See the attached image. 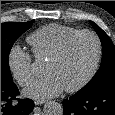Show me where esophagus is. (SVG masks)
<instances>
[{"mask_svg":"<svg viewBox=\"0 0 115 115\" xmlns=\"http://www.w3.org/2000/svg\"><path fill=\"white\" fill-rule=\"evenodd\" d=\"M45 102H46V101L43 100V99H38V100H35V101H34L35 105H42V104H44Z\"/></svg>","mask_w":115,"mask_h":115,"instance_id":"obj_1","label":"esophagus"}]
</instances>
